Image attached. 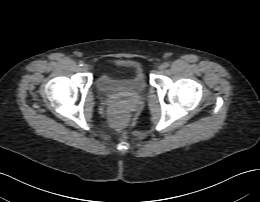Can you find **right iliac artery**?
<instances>
[{"label":"right iliac artery","mask_w":260,"mask_h":202,"mask_svg":"<svg viewBox=\"0 0 260 202\" xmlns=\"http://www.w3.org/2000/svg\"><path fill=\"white\" fill-rule=\"evenodd\" d=\"M84 62L83 61H79V66H83Z\"/></svg>","instance_id":"right-iliac-artery-1"}]
</instances>
